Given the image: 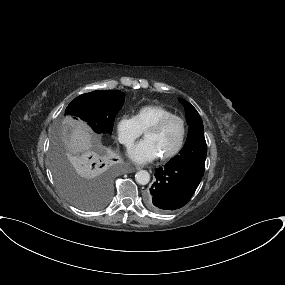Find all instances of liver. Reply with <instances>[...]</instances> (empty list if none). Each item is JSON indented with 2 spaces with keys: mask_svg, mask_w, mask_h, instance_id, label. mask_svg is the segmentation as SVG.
<instances>
[{
  "mask_svg": "<svg viewBox=\"0 0 285 285\" xmlns=\"http://www.w3.org/2000/svg\"><path fill=\"white\" fill-rule=\"evenodd\" d=\"M95 141V137L86 124L71 122L67 140V154L73 165L76 166L80 159L91 153Z\"/></svg>",
  "mask_w": 285,
  "mask_h": 285,
  "instance_id": "1",
  "label": "liver"
}]
</instances>
